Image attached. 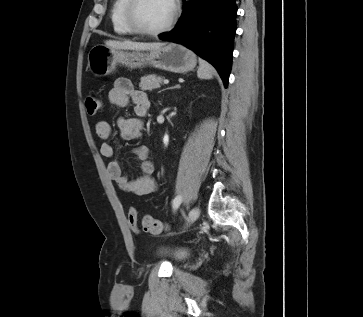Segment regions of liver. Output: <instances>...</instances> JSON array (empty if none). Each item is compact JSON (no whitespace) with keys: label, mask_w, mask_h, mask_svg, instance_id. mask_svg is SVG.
Returning <instances> with one entry per match:
<instances>
[{"label":"liver","mask_w":363,"mask_h":317,"mask_svg":"<svg viewBox=\"0 0 363 317\" xmlns=\"http://www.w3.org/2000/svg\"><path fill=\"white\" fill-rule=\"evenodd\" d=\"M107 47L116 50H136V51H145V50H154L158 49L165 45V43L154 42V43H144V42H133V41H116V40H107L105 41Z\"/></svg>","instance_id":"6515ba94"}]
</instances>
